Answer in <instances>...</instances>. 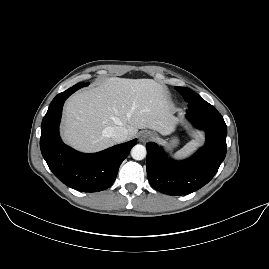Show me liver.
Here are the masks:
<instances>
[{
    "mask_svg": "<svg viewBox=\"0 0 269 269\" xmlns=\"http://www.w3.org/2000/svg\"><path fill=\"white\" fill-rule=\"evenodd\" d=\"M166 88L153 80L110 78L97 88L72 96L66 104L65 139L83 150H99L115 141L108 128L127 127V138L139 129L161 135L173 132Z\"/></svg>",
    "mask_w": 269,
    "mask_h": 269,
    "instance_id": "1",
    "label": "liver"
}]
</instances>
